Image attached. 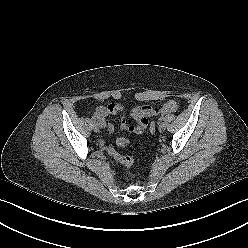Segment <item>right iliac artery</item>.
<instances>
[{
  "label": "right iliac artery",
  "instance_id": "right-iliac-artery-1",
  "mask_svg": "<svg viewBox=\"0 0 248 248\" xmlns=\"http://www.w3.org/2000/svg\"><path fill=\"white\" fill-rule=\"evenodd\" d=\"M91 121H92V122H95V121H96L95 116H93V117L91 118Z\"/></svg>",
  "mask_w": 248,
  "mask_h": 248
}]
</instances>
